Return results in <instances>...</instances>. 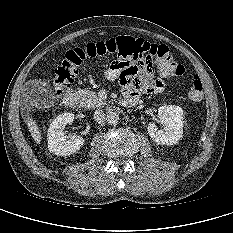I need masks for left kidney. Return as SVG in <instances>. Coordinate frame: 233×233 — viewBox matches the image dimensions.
I'll return each mask as SVG.
<instances>
[{
  "mask_svg": "<svg viewBox=\"0 0 233 233\" xmlns=\"http://www.w3.org/2000/svg\"><path fill=\"white\" fill-rule=\"evenodd\" d=\"M158 118L164 129L159 130L155 123H149L147 131L158 144H176L183 134V110L179 106L164 105L158 109Z\"/></svg>",
  "mask_w": 233,
  "mask_h": 233,
  "instance_id": "1",
  "label": "left kidney"
}]
</instances>
